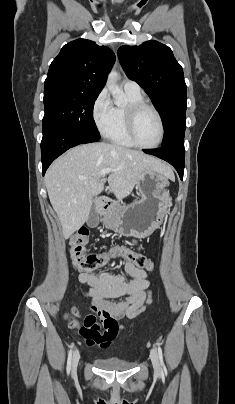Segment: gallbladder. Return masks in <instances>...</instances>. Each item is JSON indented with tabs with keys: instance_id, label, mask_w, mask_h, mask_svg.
<instances>
[{
	"instance_id": "bac80fb5",
	"label": "gallbladder",
	"mask_w": 235,
	"mask_h": 404,
	"mask_svg": "<svg viewBox=\"0 0 235 404\" xmlns=\"http://www.w3.org/2000/svg\"><path fill=\"white\" fill-rule=\"evenodd\" d=\"M98 223H99V214L96 211V203L93 202L87 224L89 227H96Z\"/></svg>"
}]
</instances>
